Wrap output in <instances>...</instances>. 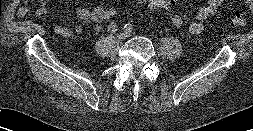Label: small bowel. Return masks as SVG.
I'll list each match as a JSON object with an SVG mask.
<instances>
[{"mask_svg":"<svg viewBox=\"0 0 253 131\" xmlns=\"http://www.w3.org/2000/svg\"><path fill=\"white\" fill-rule=\"evenodd\" d=\"M225 0H207L206 4L202 6L196 13L195 17H188L186 15H175L172 18V24L177 27L188 26L189 32L192 34H199L204 30L206 21L213 15L217 13L221 5ZM25 2L18 10V15L24 17L28 13V6ZM42 7L41 13H47L50 11V7L45 0H41ZM106 8V3L102 2L92 10L86 7H79L76 10L77 17L84 22L94 23L93 29L95 32H100L102 30L103 11ZM83 29L81 26L77 25L73 29L56 26L55 32L64 38H70L74 35H80Z\"/></svg>","mask_w":253,"mask_h":131,"instance_id":"c3829d8e","label":"small bowel"}]
</instances>
